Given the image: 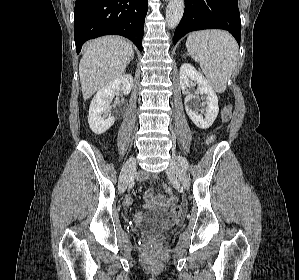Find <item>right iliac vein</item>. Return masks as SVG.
<instances>
[{"label": "right iliac vein", "instance_id": "1", "mask_svg": "<svg viewBox=\"0 0 299 280\" xmlns=\"http://www.w3.org/2000/svg\"><path fill=\"white\" fill-rule=\"evenodd\" d=\"M135 167H136V159L135 158H130L125 163V165L122 169V172H121L119 186H118L119 191L121 193H123L126 190L130 175L134 171Z\"/></svg>", "mask_w": 299, "mask_h": 280}]
</instances>
